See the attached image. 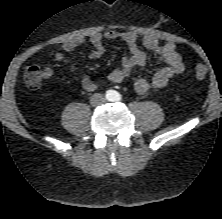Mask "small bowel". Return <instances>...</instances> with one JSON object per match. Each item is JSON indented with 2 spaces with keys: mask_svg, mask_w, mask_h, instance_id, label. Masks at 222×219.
<instances>
[{
  "mask_svg": "<svg viewBox=\"0 0 222 219\" xmlns=\"http://www.w3.org/2000/svg\"><path fill=\"white\" fill-rule=\"evenodd\" d=\"M120 40L126 43L129 48V54L123 58L121 66L112 70L108 79L113 83H119L131 75L134 68L143 66L146 62L147 55L139 46V36L134 31H118L107 30L92 34L88 40L77 38L69 40L63 44L64 52H71L76 48L89 42L93 49L89 52L91 59L100 58L105 52L104 41ZM141 42L143 46L150 50L155 57L164 63V66L159 69L150 78L146 79L139 77L135 80L134 88L138 94H145L152 90L164 88L171 79L183 73L185 66L180 54L176 50V46L172 42L161 43L151 34H145ZM55 59L58 62L68 65L70 71L75 74L80 86L86 91H94L97 88L94 82L88 75L77 69L76 66L69 64L65 55L61 52L55 54ZM53 76L51 68L43 70V79L49 80Z\"/></svg>",
  "mask_w": 222,
  "mask_h": 219,
  "instance_id": "small-bowel-1",
  "label": "small bowel"
}]
</instances>
